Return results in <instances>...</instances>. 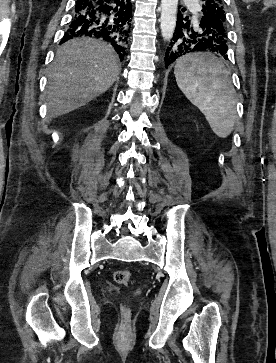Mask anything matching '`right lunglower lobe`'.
Masks as SVG:
<instances>
[{
	"mask_svg": "<svg viewBox=\"0 0 276 363\" xmlns=\"http://www.w3.org/2000/svg\"><path fill=\"white\" fill-rule=\"evenodd\" d=\"M131 21L130 0H76L72 21L61 43L81 36L101 38L123 59Z\"/></svg>",
	"mask_w": 276,
	"mask_h": 363,
	"instance_id": "obj_1",
	"label": "right lung lower lobe"
}]
</instances>
